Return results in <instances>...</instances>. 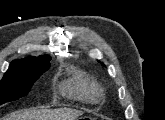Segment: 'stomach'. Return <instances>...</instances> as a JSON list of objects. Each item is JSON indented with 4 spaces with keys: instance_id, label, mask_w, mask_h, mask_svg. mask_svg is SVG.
Here are the masks:
<instances>
[{
    "instance_id": "1",
    "label": "stomach",
    "mask_w": 165,
    "mask_h": 120,
    "mask_svg": "<svg viewBox=\"0 0 165 120\" xmlns=\"http://www.w3.org/2000/svg\"><path fill=\"white\" fill-rule=\"evenodd\" d=\"M79 119H90V120H94L92 117H81V118H78V119H76V120H79Z\"/></svg>"
}]
</instances>
